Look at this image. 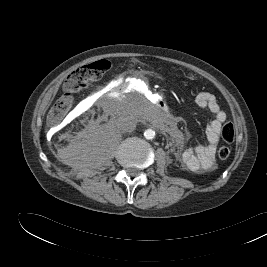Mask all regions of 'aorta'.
Segmentation results:
<instances>
[{"label":"aorta","mask_w":267,"mask_h":267,"mask_svg":"<svg viewBox=\"0 0 267 267\" xmlns=\"http://www.w3.org/2000/svg\"><path fill=\"white\" fill-rule=\"evenodd\" d=\"M144 136L146 139L151 140L155 137V131L152 129H147L144 132Z\"/></svg>","instance_id":"aorta-1"}]
</instances>
